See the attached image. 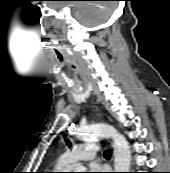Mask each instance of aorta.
<instances>
[{
	"label": "aorta",
	"instance_id": "762f6f07",
	"mask_svg": "<svg viewBox=\"0 0 170 173\" xmlns=\"http://www.w3.org/2000/svg\"><path fill=\"white\" fill-rule=\"evenodd\" d=\"M82 140H96L98 138H112L114 148L115 172H129L131 165V150L126 138L114 127L107 124H96L80 130ZM76 172H85V167L77 164Z\"/></svg>",
	"mask_w": 170,
	"mask_h": 173
}]
</instances>
